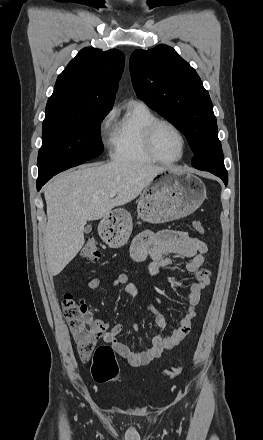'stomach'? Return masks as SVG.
Returning <instances> with one entry per match:
<instances>
[{
  "mask_svg": "<svg viewBox=\"0 0 263 440\" xmlns=\"http://www.w3.org/2000/svg\"><path fill=\"white\" fill-rule=\"evenodd\" d=\"M205 198L206 187L201 179L184 171L167 169L144 189L138 201V216L150 223L184 218L197 210ZM99 230L110 247H122L132 232L129 213L117 210L103 221Z\"/></svg>",
  "mask_w": 263,
  "mask_h": 440,
  "instance_id": "1",
  "label": "stomach"
}]
</instances>
